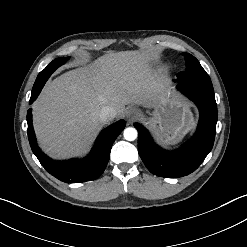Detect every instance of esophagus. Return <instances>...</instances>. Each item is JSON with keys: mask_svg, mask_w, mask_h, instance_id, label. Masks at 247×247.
<instances>
[{"mask_svg": "<svg viewBox=\"0 0 247 247\" xmlns=\"http://www.w3.org/2000/svg\"><path fill=\"white\" fill-rule=\"evenodd\" d=\"M137 115H138V111H137V109H135L133 107L128 108L126 111L127 118L133 119V118L137 117Z\"/></svg>", "mask_w": 247, "mask_h": 247, "instance_id": "esophagus-1", "label": "esophagus"}]
</instances>
